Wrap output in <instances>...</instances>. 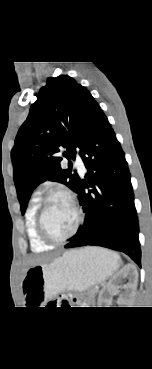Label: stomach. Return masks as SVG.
<instances>
[{"label": "stomach", "mask_w": 152, "mask_h": 369, "mask_svg": "<svg viewBox=\"0 0 152 369\" xmlns=\"http://www.w3.org/2000/svg\"><path fill=\"white\" fill-rule=\"evenodd\" d=\"M118 267L119 256L101 248L68 251L49 263L27 269L22 281L25 302L37 305L63 291H86L106 280Z\"/></svg>", "instance_id": "obj_1"}]
</instances>
